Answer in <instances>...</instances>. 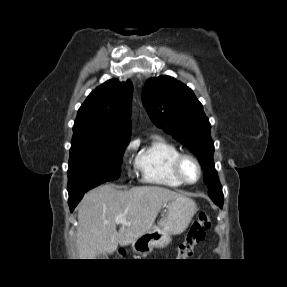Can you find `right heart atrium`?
<instances>
[{"label": "right heart atrium", "instance_id": "1", "mask_svg": "<svg viewBox=\"0 0 287 287\" xmlns=\"http://www.w3.org/2000/svg\"><path fill=\"white\" fill-rule=\"evenodd\" d=\"M132 148V144H129L124 151V154H127V152Z\"/></svg>", "mask_w": 287, "mask_h": 287}]
</instances>
